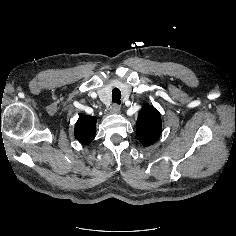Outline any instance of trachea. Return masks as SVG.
<instances>
[{"label": "trachea", "mask_w": 236, "mask_h": 236, "mask_svg": "<svg viewBox=\"0 0 236 236\" xmlns=\"http://www.w3.org/2000/svg\"><path fill=\"white\" fill-rule=\"evenodd\" d=\"M112 100L114 103H121V91L118 88L112 90Z\"/></svg>", "instance_id": "1"}]
</instances>
